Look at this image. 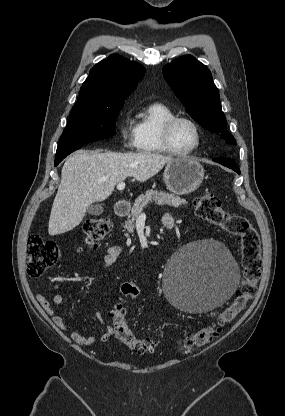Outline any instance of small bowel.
I'll use <instances>...</instances> for the list:
<instances>
[{
  "mask_svg": "<svg viewBox=\"0 0 285 416\" xmlns=\"http://www.w3.org/2000/svg\"><path fill=\"white\" fill-rule=\"evenodd\" d=\"M162 221L165 226L172 227L175 223V218L172 214L166 213L163 216ZM120 252L121 248L119 246L114 245L110 247L105 256V265L107 267L111 266L118 258ZM36 299L38 303L41 305V307L44 309V311L50 316L52 322L61 330L67 331L71 339L81 346H90L94 344L97 340L101 342H106L115 334L112 325L105 322L104 316L100 312L96 313V317L102 325H105V328L98 339L94 336H85L76 331H69L63 318L54 311L51 302L45 296H43L42 294H37ZM63 300L64 298L61 294H55L52 298V302L55 305H61L63 303Z\"/></svg>",
  "mask_w": 285,
  "mask_h": 416,
  "instance_id": "obj_1",
  "label": "small bowel"
}]
</instances>
